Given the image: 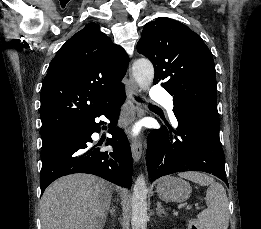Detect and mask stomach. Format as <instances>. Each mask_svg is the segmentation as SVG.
<instances>
[{
    "instance_id": "0dacf381",
    "label": "stomach",
    "mask_w": 261,
    "mask_h": 229,
    "mask_svg": "<svg viewBox=\"0 0 261 229\" xmlns=\"http://www.w3.org/2000/svg\"><path fill=\"white\" fill-rule=\"evenodd\" d=\"M156 193L165 203H184L189 199L192 189L183 179L163 177L157 181Z\"/></svg>"
}]
</instances>
